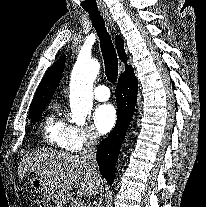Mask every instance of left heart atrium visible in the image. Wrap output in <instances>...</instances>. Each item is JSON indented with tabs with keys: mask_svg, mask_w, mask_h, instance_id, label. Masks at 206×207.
<instances>
[{
	"mask_svg": "<svg viewBox=\"0 0 206 207\" xmlns=\"http://www.w3.org/2000/svg\"><path fill=\"white\" fill-rule=\"evenodd\" d=\"M116 119V110L111 104L100 105L93 115L95 127L101 134L108 133L114 127Z\"/></svg>",
	"mask_w": 206,
	"mask_h": 207,
	"instance_id": "39dd6f15",
	"label": "left heart atrium"
}]
</instances>
